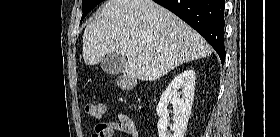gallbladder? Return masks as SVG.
Segmentation results:
<instances>
[{"mask_svg":"<svg viewBox=\"0 0 280 137\" xmlns=\"http://www.w3.org/2000/svg\"><path fill=\"white\" fill-rule=\"evenodd\" d=\"M127 59L117 53H109L100 61L101 69L109 75H117L125 69Z\"/></svg>","mask_w":280,"mask_h":137,"instance_id":"obj_1","label":"gallbladder"}]
</instances>
